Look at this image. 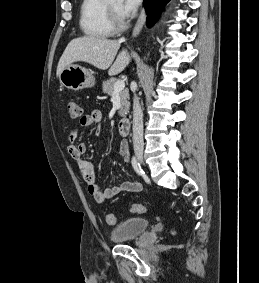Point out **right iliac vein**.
<instances>
[{"label":"right iliac vein","instance_id":"right-iliac-vein-1","mask_svg":"<svg viewBox=\"0 0 259 283\" xmlns=\"http://www.w3.org/2000/svg\"><path fill=\"white\" fill-rule=\"evenodd\" d=\"M137 159L142 162L143 161V154L141 152H136Z\"/></svg>","mask_w":259,"mask_h":283}]
</instances>
